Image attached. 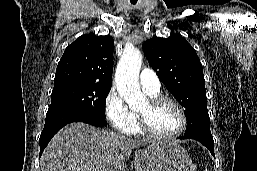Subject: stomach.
I'll return each instance as SVG.
<instances>
[{"label": "stomach", "instance_id": "stomach-1", "mask_svg": "<svg viewBox=\"0 0 257 171\" xmlns=\"http://www.w3.org/2000/svg\"><path fill=\"white\" fill-rule=\"evenodd\" d=\"M135 171H195V166L177 142L157 141L135 152Z\"/></svg>", "mask_w": 257, "mask_h": 171}]
</instances>
